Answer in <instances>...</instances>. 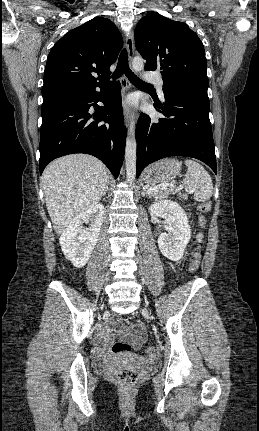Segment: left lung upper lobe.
Instances as JSON below:
<instances>
[{
  "mask_svg": "<svg viewBox=\"0 0 259 431\" xmlns=\"http://www.w3.org/2000/svg\"><path fill=\"white\" fill-rule=\"evenodd\" d=\"M135 45L145 69L160 70L163 91H192L207 96V60L198 35L187 24L158 13L143 17L135 29Z\"/></svg>",
  "mask_w": 259,
  "mask_h": 431,
  "instance_id": "left-lung-upper-lobe-1",
  "label": "left lung upper lobe"
}]
</instances>
